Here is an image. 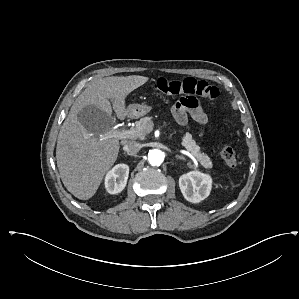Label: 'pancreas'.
I'll list each match as a JSON object with an SVG mask.
<instances>
[{
    "mask_svg": "<svg viewBox=\"0 0 299 299\" xmlns=\"http://www.w3.org/2000/svg\"><path fill=\"white\" fill-rule=\"evenodd\" d=\"M151 119L152 117H144L141 118L139 121H137L135 124V130H138V132L135 134L133 139H142L150 131L148 128L151 125ZM182 146L185 147L205 168H211L212 162L210 158L204 154L200 147L196 145V142L192 139V135L190 133H186L182 137Z\"/></svg>",
    "mask_w": 299,
    "mask_h": 299,
    "instance_id": "1",
    "label": "pancreas"
}]
</instances>
